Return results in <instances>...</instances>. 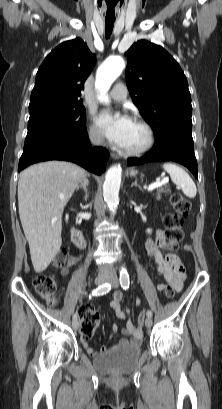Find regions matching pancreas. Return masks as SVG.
<instances>
[{
  "instance_id": "cf45deb5",
  "label": "pancreas",
  "mask_w": 222,
  "mask_h": 409,
  "mask_svg": "<svg viewBox=\"0 0 222 409\" xmlns=\"http://www.w3.org/2000/svg\"><path fill=\"white\" fill-rule=\"evenodd\" d=\"M167 192H169L168 189L159 188L158 191H157V199H160V198H161V194H162V193H167Z\"/></svg>"
}]
</instances>
